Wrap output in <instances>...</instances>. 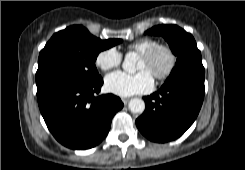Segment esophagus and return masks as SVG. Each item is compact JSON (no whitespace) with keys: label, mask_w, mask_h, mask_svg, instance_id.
<instances>
[{"label":"esophagus","mask_w":245,"mask_h":170,"mask_svg":"<svg viewBox=\"0 0 245 170\" xmlns=\"http://www.w3.org/2000/svg\"><path fill=\"white\" fill-rule=\"evenodd\" d=\"M129 101V98H122V102L126 105Z\"/></svg>","instance_id":"34e87169"}]
</instances>
